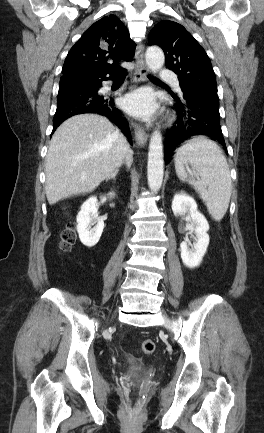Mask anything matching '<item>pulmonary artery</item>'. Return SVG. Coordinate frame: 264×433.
Wrapping results in <instances>:
<instances>
[{"instance_id": "pulmonary-artery-1", "label": "pulmonary artery", "mask_w": 264, "mask_h": 433, "mask_svg": "<svg viewBox=\"0 0 264 433\" xmlns=\"http://www.w3.org/2000/svg\"><path fill=\"white\" fill-rule=\"evenodd\" d=\"M159 74H160V78L163 80H172L174 87L179 89V82H178V80L174 79L173 72H171L168 69L163 68L160 70Z\"/></svg>"}]
</instances>
